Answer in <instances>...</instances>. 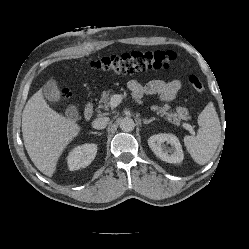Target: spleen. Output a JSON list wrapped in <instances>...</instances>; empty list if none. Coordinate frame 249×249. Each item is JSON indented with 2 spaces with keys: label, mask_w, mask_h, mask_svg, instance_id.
I'll list each match as a JSON object with an SVG mask.
<instances>
[{
  "label": "spleen",
  "mask_w": 249,
  "mask_h": 249,
  "mask_svg": "<svg viewBox=\"0 0 249 249\" xmlns=\"http://www.w3.org/2000/svg\"><path fill=\"white\" fill-rule=\"evenodd\" d=\"M199 131L196 136H185L184 144L194 161L206 164L214 153L221 138L220 121L212 102L198 116Z\"/></svg>",
  "instance_id": "obj_1"
}]
</instances>
